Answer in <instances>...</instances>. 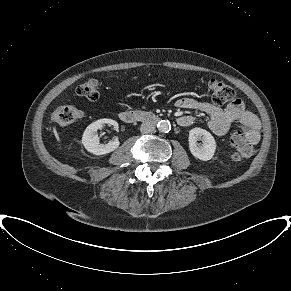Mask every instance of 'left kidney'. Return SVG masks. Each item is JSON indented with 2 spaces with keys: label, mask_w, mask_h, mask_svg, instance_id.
Masks as SVG:
<instances>
[{
  "label": "left kidney",
  "mask_w": 291,
  "mask_h": 291,
  "mask_svg": "<svg viewBox=\"0 0 291 291\" xmlns=\"http://www.w3.org/2000/svg\"><path fill=\"white\" fill-rule=\"evenodd\" d=\"M198 140H202L203 144H198ZM188 142L189 150L195 158L202 161L212 159L216 150V142L210 132L202 128H193L189 131Z\"/></svg>",
  "instance_id": "1"
}]
</instances>
